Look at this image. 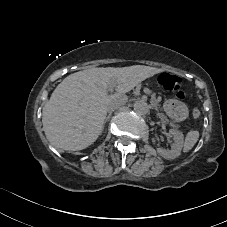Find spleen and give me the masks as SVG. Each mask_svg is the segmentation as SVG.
Segmentation results:
<instances>
[{
	"label": "spleen",
	"instance_id": "1",
	"mask_svg": "<svg viewBox=\"0 0 227 227\" xmlns=\"http://www.w3.org/2000/svg\"><path fill=\"white\" fill-rule=\"evenodd\" d=\"M199 139V132L194 130V131H189L185 137V141L183 144V152H188L193 148V146L196 144V142Z\"/></svg>",
	"mask_w": 227,
	"mask_h": 227
}]
</instances>
